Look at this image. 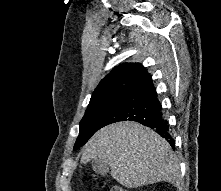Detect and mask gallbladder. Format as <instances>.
Listing matches in <instances>:
<instances>
[{
  "instance_id": "1",
  "label": "gallbladder",
  "mask_w": 221,
  "mask_h": 191,
  "mask_svg": "<svg viewBox=\"0 0 221 191\" xmlns=\"http://www.w3.org/2000/svg\"><path fill=\"white\" fill-rule=\"evenodd\" d=\"M93 171L100 175H106L109 172V165L106 161L95 158L91 162Z\"/></svg>"
}]
</instances>
